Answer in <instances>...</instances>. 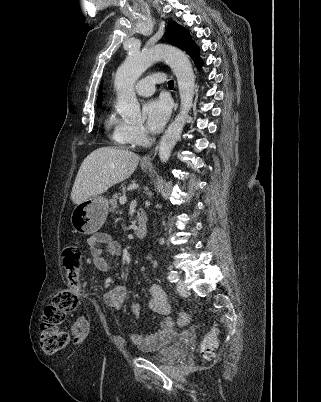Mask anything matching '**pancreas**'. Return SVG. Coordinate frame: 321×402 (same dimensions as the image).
Listing matches in <instances>:
<instances>
[{"mask_svg": "<svg viewBox=\"0 0 321 402\" xmlns=\"http://www.w3.org/2000/svg\"><path fill=\"white\" fill-rule=\"evenodd\" d=\"M121 197L120 193H116L112 196V198L109 201L110 204V212L114 213L116 208H117V200Z\"/></svg>", "mask_w": 321, "mask_h": 402, "instance_id": "pancreas-1", "label": "pancreas"}]
</instances>
